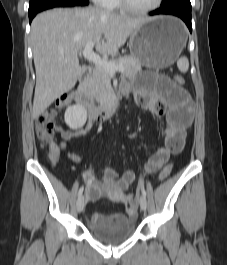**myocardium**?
<instances>
[{"label":"myocardium","instance_id":"f54148a6","mask_svg":"<svg viewBox=\"0 0 227 265\" xmlns=\"http://www.w3.org/2000/svg\"><path fill=\"white\" fill-rule=\"evenodd\" d=\"M163 0H156V2L148 7V8H143V9H140V8H135L134 6H132L129 2V0H119V3L121 5V7L129 12V13H132V14H148V13H151L155 10H157L161 4H162Z\"/></svg>","mask_w":227,"mask_h":265}]
</instances>
